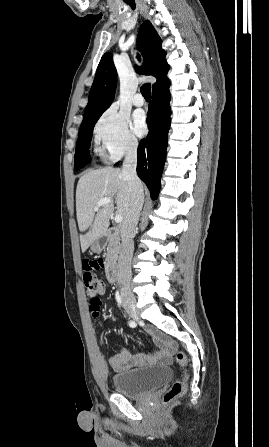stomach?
Masks as SVG:
<instances>
[{
	"label": "stomach",
	"mask_w": 269,
	"mask_h": 447,
	"mask_svg": "<svg viewBox=\"0 0 269 447\" xmlns=\"http://www.w3.org/2000/svg\"><path fill=\"white\" fill-rule=\"evenodd\" d=\"M107 245V239L104 237V241L102 239H96V241H93V243H90V249L92 251H95V253H100V251H103Z\"/></svg>",
	"instance_id": "obj_1"
}]
</instances>
